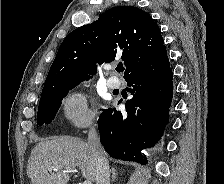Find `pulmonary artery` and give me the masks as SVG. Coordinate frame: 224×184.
I'll return each instance as SVG.
<instances>
[{"mask_svg":"<svg viewBox=\"0 0 224 184\" xmlns=\"http://www.w3.org/2000/svg\"><path fill=\"white\" fill-rule=\"evenodd\" d=\"M107 86L110 88V89H116V88H119L121 83H120V80L115 77V76H111L109 78H107Z\"/></svg>","mask_w":224,"mask_h":184,"instance_id":"pulmonary-artery-1","label":"pulmonary artery"}]
</instances>
